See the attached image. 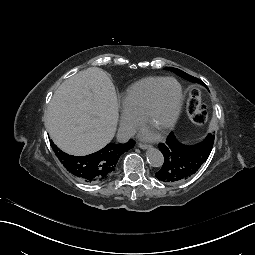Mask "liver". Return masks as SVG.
Returning <instances> with one entry per match:
<instances>
[{"mask_svg": "<svg viewBox=\"0 0 255 255\" xmlns=\"http://www.w3.org/2000/svg\"><path fill=\"white\" fill-rule=\"evenodd\" d=\"M117 121L115 87L101 68L91 67L59 86L48 107L45 124L61 150L86 155L113 139Z\"/></svg>", "mask_w": 255, "mask_h": 255, "instance_id": "liver-1", "label": "liver"}]
</instances>
